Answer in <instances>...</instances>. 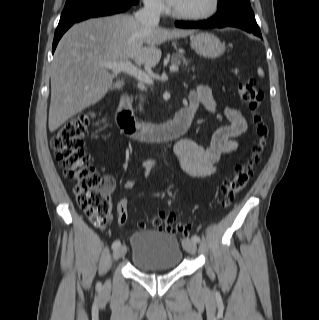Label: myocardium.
Instances as JSON below:
<instances>
[{
  "label": "myocardium",
  "instance_id": "myocardium-1",
  "mask_svg": "<svg viewBox=\"0 0 319 320\" xmlns=\"http://www.w3.org/2000/svg\"><path fill=\"white\" fill-rule=\"evenodd\" d=\"M220 5V0H211L210 7L201 13H195V14H184L176 11L175 9H172L171 14L173 17L184 20V21H200L205 20L210 17H212L218 10Z\"/></svg>",
  "mask_w": 319,
  "mask_h": 320
}]
</instances>
